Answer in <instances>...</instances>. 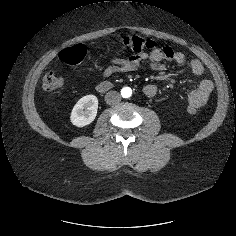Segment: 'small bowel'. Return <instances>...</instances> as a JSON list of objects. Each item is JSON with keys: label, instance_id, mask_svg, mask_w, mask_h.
I'll return each instance as SVG.
<instances>
[{"label": "small bowel", "instance_id": "1", "mask_svg": "<svg viewBox=\"0 0 236 236\" xmlns=\"http://www.w3.org/2000/svg\"><path fill=\"white\" fill-rule=\"evenodd\" d=\"M164 60L182 65L185 63L186 57L182 52L176 51L170 46H166L161 48L159 51L149 54L136 53L128 58H113L111 60V64L102 70L101 75L102 77L106 78L117 73L138 71L144 67H148L154 71L162 72L166 69L165 64L163 63ZM188 66L195 76L203 75L204 66L199 60H190ZM213 89L214 84L211 80H201L188 95L189 107L198 109L204 106L207 103ZM144 93L148 97L154 96L157 93V86L155 84L145 85Z\"/></svg>", "mask_w": 236, "mask_h": 236}]
</instances>
